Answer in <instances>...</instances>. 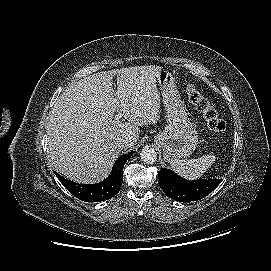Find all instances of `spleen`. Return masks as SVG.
<instances>
[{
    "instance_id": "obj_1",
    "label": "spleen",
    "mask_w": 271,
    "mask_h": 271,
    "mask_svg": "<svg viewBox=\"0 0 271 271\" xmlns=\"http://www.w3.org/2000/svg\"><path fill=\"white\" fill-rule=\"evenodd\" d=\"M215 160V155H203L197 159L175 160L170 165L180 176L189 180H196L206 173Z\"/></svg>"
}]
</instances>
